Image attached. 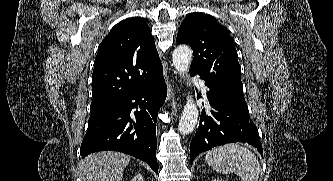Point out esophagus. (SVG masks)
Instances as JSON below:
<instances>
[{"mask_svg":"<svg viewBox=\"0 0 333 181\" xmlns=\"http://www.w3.org/2000/svg\"><path fill=\"white\" fill-rule=\"evenodd\" d=\"M173 95V92L171 90V84L169 83V93H168V99H170Z\"/></svg>","mask_w":333,"mask_h":181,"instance_id":"esophagus-1","label":"esophagus"}]
</instances>
